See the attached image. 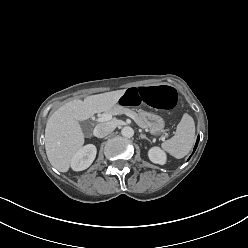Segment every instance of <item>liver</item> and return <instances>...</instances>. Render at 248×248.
<instances>
[{"label":"liver","mask_w":248,"mask_h":248,"mask_svg":"<svg viewBox=\"0 0 248 248\" xmlns=\"http://www.w3.org/2000/svg\"><path fill=\"white\" fill-rule=\"evenodd\" d=\"M125 89L74 99L58 108L45 128V149L49 162L60 172H67L74 154L82 148L85 136L79 121L108 111L125 94Z\"/></svg>","instance_id":"liver-1"}]
</instances>
